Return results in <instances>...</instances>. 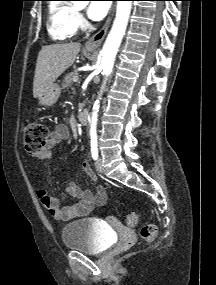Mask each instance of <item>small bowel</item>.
<instances>
[{
	"label": "small bowel",
	"mask_w": 216,
	"mask_h": 285,
	"mask_svg": "<svg viewBox=\"0 0 216 285\" xmlns=\"http://www.w3.org/2000/svg\"><path fill=\"white\" fill-rule=\"evenodd\" d=\"M69 137L70 131L66 125L61 124L56 126L48 137L43 159L48 160L51 156L50 149L60 141L66 140ZM82 170L92 182H96V175L88 163H83ZM66 192L75 198L77 202L70 206L62 207L60 206L59 200L49 194L48 191L44 189L37 191L40 202L55 220L68 221L76 217L86 216L93 210L95 205L104 204L106 201L105 191L100 186H97L94 190H84L74 182H71Z\"/></svg>",
	"instance_id": "obj_1"
}]
</instances>
